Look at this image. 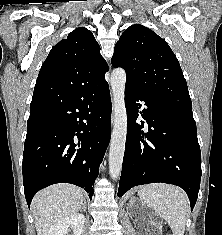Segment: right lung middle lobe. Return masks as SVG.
I'll list each match as a JSON object with an SVG mask.
<instances>
[{"label":"right lung middle lobe","instance_id":"1","mask_svg":"<svg viewBox=\"0 0 222 235\" xmlns=\"http://www.w3.org/2000/svg\"><path fill=\"white\" fill-rule=\"evenodd\" d=\"M33 125H35V124H33V123H27V128H28V127H31V126H33Z\"/></svg>","mask_w":222,"mask_h":235}]
</instances>
